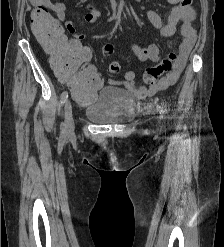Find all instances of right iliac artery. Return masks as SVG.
<instances>
[{"label": "right iliac artery", "mask_w": 224, "mask_h": 247, "mask_svg": "<svg viewBox=\"0 0 224 247\" xmlns=\"http://www.w3.org/2000/svg\"><path fill=\"white\" fill-rule=\"evenodd\" d=\"M67 98H68V92L67 91L62 92V94H61V104L62 105L67 101ZM65 126H66L65 123L62 122L61 126H60V130H61L62 135L65 134V130H66Z\"/></svg>", "instance_id": "1"}]
</instances>
